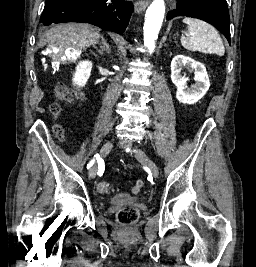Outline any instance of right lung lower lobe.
I'll return each instance as SVG.
<instances>
[{
    "instance_id": "1",
    "label": "right lung lower lobe",
    "mask_w": 256,
    "mask_h": 267,
    "mask_svg": "<svg viewBox=\"0 0 256 267\" xmlns=\"http://www.w3.org/2000/svg\"><path fill=\"white\" fill-rule=\"evenodd\" d=\"M133 5L122 0H49L41 24L83 22L104 30L123 33L128 25Z\"/></svg>"
}]
</instances>
